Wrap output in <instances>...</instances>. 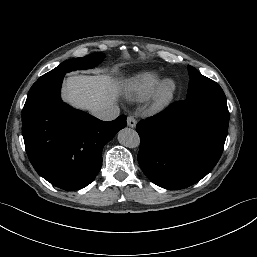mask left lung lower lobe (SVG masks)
I'll return each instance as SVG.
<instances>
[{
	"instance_id": "0a47b994",
	"label": "left lung lower lobe",
	"mask_w": 257,
	"mask_h": 257,
	"mask_svg": "<svg viewBox=\"0 0 257 257\" xmlns=\"http://www.w3.org/2000/svg\"><path fill=\"white\" fill-rule=\"evenodd\" d=\"M229 124L226 98L173 103L141 120L138 162L145 175L166 189H182L205 177L218 162Z\"/></svg>"
}]
</instances>
